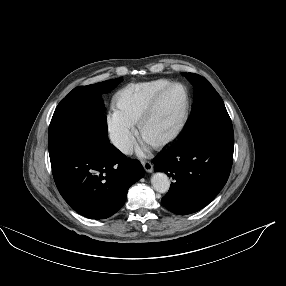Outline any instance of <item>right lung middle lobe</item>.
<instances>
[{
    "mask_svg": "<svg viewBox=\"0 0 286 286\" xmlns=\"http://www.w3.org/2000/svg\"><path fill=\"white\" fill-rule=\"evenodd\" d=\"M122 78L74 88L56 107L48 135L49 155L77 144L93 146L111 155L114 146L107 137L106 117L101 95L113 89Z\"/></svg>",
    "mask_w": 286,
    "mask_h": 286,
    "instance_id": "1",
    "label": "right lung middle lobe"
}]
</instances>
